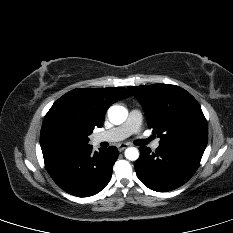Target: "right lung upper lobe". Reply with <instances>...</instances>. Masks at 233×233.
<instances>
[{"label":"right lung upper lobe","mask_w":233,"mask_h":233,"mask_svg":"<svg viewBox=\"0 0 233 233\" xmlns=\"http://www.w3.org/2000/svg\"><path fill=\"white\" fill-rule=\"evenodd\" d=\"M122 87L74 89L59 98L51 109H60L89 129L102 127L108 107L129 97Z\"/></svg>","instance_id":"obj_1"}]
</instances>
